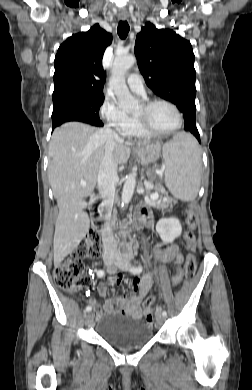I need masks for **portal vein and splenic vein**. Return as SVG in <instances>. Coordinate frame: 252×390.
Listing matches in <instances>:
<instances>
[{"label":"portal vein and splenic vein","instance_id":"1","mask_svg":"<svg viewBox=\"0 0 252 390\" xmlns=\"http://www.w3.org/2000/svg\"><path fill=\"white\" fill-rule=\"evenodd\" d=\"M157 173H161V172L157 171ZM81 185H82V186H85L86 183H85L84 181H82V182H81ZM146 186H147V187H151V184L146 183ZM151 197L154 198V199H157V198H158V194H157V193L152 194Z\"/></svg>","mask_w":252,"mask_h":390}]
</instances>
